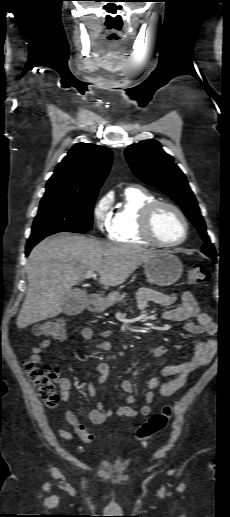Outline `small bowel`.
<instances>
[{
	"instance_id": "1",
	"label": "small bowel",
	"mask_w": 230,
	"mask_h": 517,
	"mask_svg": "<svg viewBox=\"0 0 230 517\" xmlns=\"http://www.w3.org/2000/svg\"><path fill=\"white\" fill-rule=\"evenodd\" d=\"M177 301H180L181 304L165 311L162 314V318L169 322L186 321L183 328L187 333L204 334L208 336V338L196 343L193 356L189 360L178 365L167 366L162 370L161 375L164 379H168L167 381H161L157 377H153L149 380V391L145 395L146 403L144 405L139 408H134L136 398L132 395L133 384L130 380H123L120 387L122 391L129 394L125 404L116 409H106L104 404L98 401L88 415L91 423L97 425L102 424L113 413L118 416L131 418L148 416L151 413L150 403L153 400L155 392L166 397L173 395L187 382L189 375L193 371L211 363L217 352V343L212 337L217 333L218 326L209 315L200 311L198 303L192 293L183 292L180 295L174 293L162 294L151 289H142L137 294V305L141 310L145 309L149 303H156L160 306H171ZM191 319H195L196 322L189 321ZM80 334L85 340L95 338V332L91 327L82 328ZM109 335V331L99 333L100 337ZM73 341L72 338L66 339L68 344H72ZM50 344V340H45L35 346L29 358L30 362L34 364L40 363L42 361V352L48 349ZM95 346L98 350L102 351H111L113 349L112 344L108 341L97 342ZM149 352L153 358H159L166 353V348L164 346H153ZM97 372L99 374L97 382L99 385H103L110 375V366L107 363L101 362L97 365ZM60 387L62 399L68 400L73 391L71 381L67 378H62L60 380ZM87 389L92 397L96 396V387L93 383L89 382ZM64 417L80 441L91 443L96 439V434L89 431L88 428L79 421L76 413L71 410H66ZM58 433L67 441H71L73 438L72 434L64 428H58Z\"/></svg>"
}]
</instances>
